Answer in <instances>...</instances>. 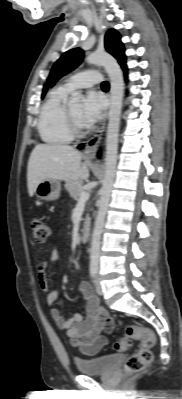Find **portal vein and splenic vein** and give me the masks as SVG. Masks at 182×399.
<instances>
[{
  "label": "portal vein and splenic vein",
  "mask_w": 182,
  "mask_h": 399,
  "mask_svg": "<svg viewBox=\"0 0 182 399\" xmlns=\"http://www.w3.org/2000/svg\"><path fill=\"white\" fill-rule=\"evenodd\" d=\"M90 197V193L88 191H83L80 194V197L78 199V203H84L86 202Z\"/></svg>",
  "instance_id": "1"
}]
</instances>
